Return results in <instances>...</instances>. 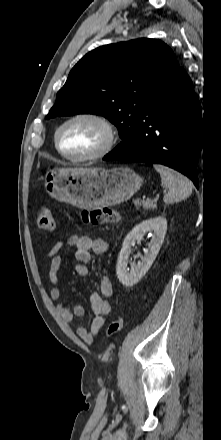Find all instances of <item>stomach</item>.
<instances>
[{
  "mask_svg": "<svg viewBox=\"0 0 221 440\" xmlns=\"http://www.w3.org/2000/svg\"><path fill=\"white\" fill-rule=\"evenodd\" d=\"M143 181L128 167L57 168L46 173L44 186L51 197L91 210L127 201Z\"/></svg>",
  "mask_w": 221,
  "mask_h": 440,
  "instance_id": "stomach-1",
  "label": "stomach"
}]
</instances>
